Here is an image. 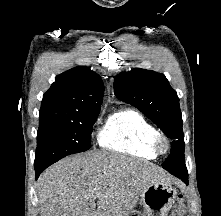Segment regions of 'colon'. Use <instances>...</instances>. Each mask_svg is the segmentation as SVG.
<instances>
[{
	"label": "colon",
	"mask_w": 221,
	"mask_h": 216,
	"mask_svg": "<svg viewBox=\"0 0 221 216\" xmlns=\"http://www.w3.org/2000/svg\"><path fill=\"white\" fill-rule=\"evenodd\" d=\"M184 212H185L184 197L182 194H180L169 216H183Z\"/></svg>",
	"instance_id": "obj_1"
}]
</instances>
